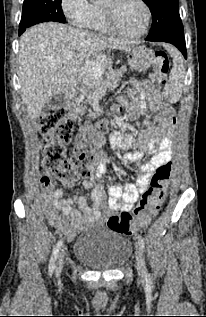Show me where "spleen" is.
Returning <instances> with one entry per match:
<instances>
[{"label":"spleen","mask_w":206,"mask_h":317,"mask_svg":"<svg viewBox=\"0 0 206 317\" xmlns=\"http://www.w3.org/2000/svg\"><path fill=\"white\" fill-rule=\"evenodd\" d=\"M165 48L173 59V67L164 87V97L170 103H176L182 94L185 68L183 58L179 51L170 45H165Z\"/></svg>","instance_id":"3e777b00"}]
</instances>
